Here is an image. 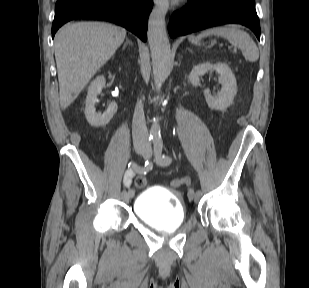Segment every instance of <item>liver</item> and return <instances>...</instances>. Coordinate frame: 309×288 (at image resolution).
Wrapping results in <instances>:
<instances>
[{
  "mask_svg": "<svg viewBox=\"0 0 309 288\" xmlns=\"http://www.w3.org/2000/svg\"><path fill=\"white\" fill-rule=\"evenodd\" d=\"M125 37V29L101 22L71 23L61 29L54 46L62 109L73 103Z\"/></svg>",
  "mask_w": 309,
  "mask_h": 288,
  "instance_id": "6515ba94",
  "label": "liver"
}]
</instances>
